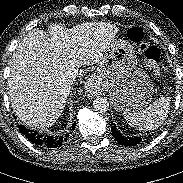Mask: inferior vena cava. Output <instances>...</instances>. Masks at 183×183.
I'll list each match as a JSON object with an SVG mask.
<instances>
[{"mask_svg":"<svg viewBox=\"0 0 183 183\" xmlns=\"http://www.w3.org/2000/svg\"><path fill=\"white\" fill-rule=\"evenodd\" d=\"M79 75V70L77 68H72L69 70L68 72V77L71 79V80H75L76 77Z\"/></svg>","mask_w":183,"mask_h":183,"instance_id":"obj_1","label":"inferior vena cava"}]
</instances>
